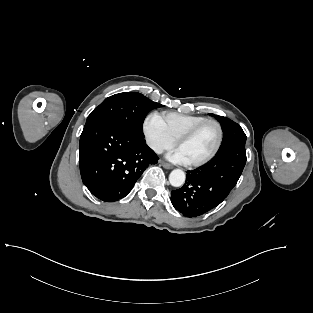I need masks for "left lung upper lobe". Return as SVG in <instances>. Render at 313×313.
<instances>
[{
    "instance_id": "obj_1",
    "label": "left lung upper lobe",
    "mask_w": 313,
    "mask_h": 313,
    "mask_svg": "<svg viewBox=\"0 0 313 313\" xmlns=\"http://www.w3.org/2000/svg\"><path fill=\"white\" fill-rule=\"evenodd\" d=\"M210 115L216 117L214 114ZM216 119L219 120L224 132L223 141L218 152L234 145H245L246 135L240 125L226 117L218 116Z\"/></svg>"
}]
</instances>
